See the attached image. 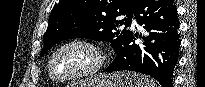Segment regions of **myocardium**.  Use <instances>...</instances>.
<instances>
[{
  "instance_id": "obj_1",
  "label": "myocardium",
  "mask_w": 205,
  "mask_h": 87,
  "mask_svg": "<svg viewBox=\"0 0 205 87\" xmlns=\"http://www.w3.org/2000/svg\"><path fill=\"white\" fill-rule=\"evenodd\" d=\"M72 46H80L88 49L92 53L93 63L88 68L82 70L81 72L64 76V77H58L55 75L53 71L54 60L56 56L63 49ZM103 64H104L103 52L96 43L88 39L76 38V39L68 40L54 49L48 61V71L50 77L57 82H74V81L83 80L94 76L96 73H98L101 70Z\"/></svg>"
}]
</instances>
